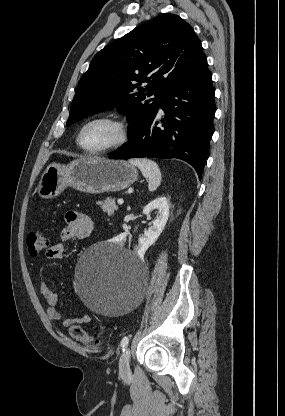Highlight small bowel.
I'll use <instances>...</instances> for the list:
<instances>
[{
    "label": "small bowel",
    "instance_id": "small-bowel-1",
    "mask_svg": "<svg viewBox=\"0 0 285 416\" xmlns=\"http://www.w3.org/2000/svg\"><path fill=\"white\" fill-rule=\"evenodd\" d=\"M65 221L66 226L60 232V241L47 247L46 257L49 259L62 258L65 250V243L67 241L86 239L93 230L91 218L81 212H67ZM40 292L48 305L46 315L50 322H60L64 327L87 324L90 322V317L88 315H81L78 318H64L57 310L59 296L48 283L42 282L40 284Z\"/></svg>",
    "mask_w": 285,
    "mask_h": 416
}]
</instances>
